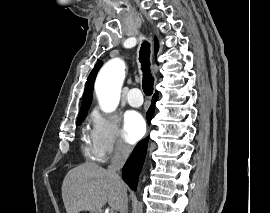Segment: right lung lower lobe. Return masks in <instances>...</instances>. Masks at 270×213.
I'll list each match as a JSON object with an SVG mask.
<instances>
[{
    "label": "right lung lower lobe",
    "instance_id": "obj_1",
    "mask_svg": "<svg viewBox=\"0 0 270 213\" xmlns=\"http://www.w3.org/2000/svg\"><path fill=\"white\" fill-rule=\"evenodd\" d=\"M157 99L158 93L156 92L152 99V105L147 112V118L149 122L154 113L155 109L154 107ZM147 145H148V138L140 141L138 145L135 147L134 151L132 152L131 156L129 157L123 168L122 172L123 179L128 184V186L133 190L137 189L138 177L144 163Z\"/></svg>",
    "mask_w": 270,
    "mask_h": 213
}]
</instances>
